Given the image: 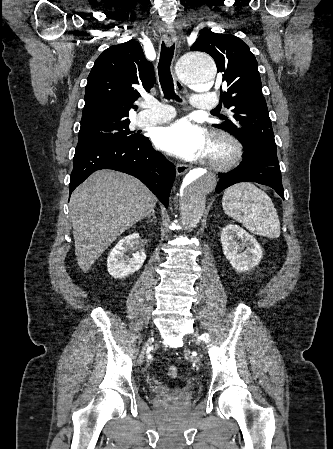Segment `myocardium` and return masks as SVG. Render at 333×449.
<instances>
[{"mask_svg": "<svg viewBox=\"0 0 333 449\" xmlns=\"http://www.w3.org/2000/svg\"><path fill=\"white\" fill-rule=\"evenodd\" d=\"M243 156L242 144L228 134H217L211 143V153L207 157L208 165L218 171L233 168Z\"/></svg>", "mask_w": 333, "mask_h": 449, "instance_id": "obj_1", "label": "myocardium"}]
</instances>
